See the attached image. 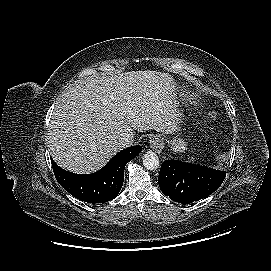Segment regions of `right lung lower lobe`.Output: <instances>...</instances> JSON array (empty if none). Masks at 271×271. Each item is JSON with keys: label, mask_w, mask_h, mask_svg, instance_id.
Here are the masks:
<instances>
[{"label": "right lung lower lobe", "mask_w": 271, "mask_h": 271, "mask_svg": "<svg viewBox=\"0 0 271 271\" xmlns=\"http://www.w3.org/2000/svg\"><path fill=\"white\" fill-rule=\"evenodd\" d=\"M141 150V146L126 148L117 153L98 172L86 175L68 172L52 159L51 163L57 181L67 192L87 203H104L119 194L123 185L125 165Z\"/></svg>", "instance_id": "98d812e1"}]
</instances>
